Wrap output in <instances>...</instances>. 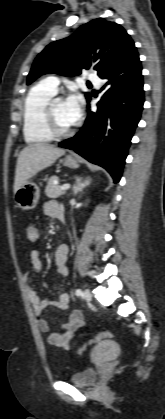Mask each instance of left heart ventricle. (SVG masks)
I'll use <instances>...</instances> for the list:
<instances>
[{"mask_svg": "<svg viewBox=\"0 0 165 419\" xmlns=\"http://www.w3.org/2000/svg\"><path fill=\"white\" fill-rule=\"evenodd\" d=\"M54 114L58 126L61 129H68L74 125V123L68 118L65 110V104L62 100H57L54 103Z\"/></svg>", "mask_w": 165, "mask_h": 419, "instance_id": "left-heart-ventricle-1", "label": "left heart ventricle"}]
</instances>
